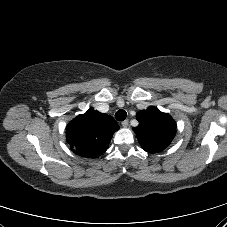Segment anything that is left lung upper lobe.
Wrapping results in <instances>:
<instances>
[{
	"mask_svg": "<svg viewBox=\"0 0 227 227\" xmlns=\"http://www.w3.org/2000/svg\"><path fill=\"white\" fill-rule=\"evenodd\" d=\"M139 125L133 130L142 148L149 153H158L170 145L176 134V122L156 107H149L136 114Z\"/></svg>",
	"mask_w": 227,
	"mask_h": 227,
	"instance_id": "1",
	"label": "left lung upper lobe"
}]
</instances>
